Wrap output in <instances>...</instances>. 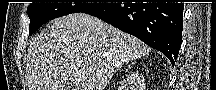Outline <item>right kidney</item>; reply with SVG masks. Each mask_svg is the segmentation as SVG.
<instances>
[{
  "mask_svg": "<svg viewBox=\"0 0 216 90\" xmlns=\"http://www.w3.org/2000/svg\"><path fill=\"white\" fill-rule=\"evenodd\" d=\"M138 82H140V84H142L143 80H138Z\"/></svg>",
  "mask_w": 216,
  "mask_h": 90,
  "instance_id": "obj_1",
  "label": "right kidney"
}]
</instances>
